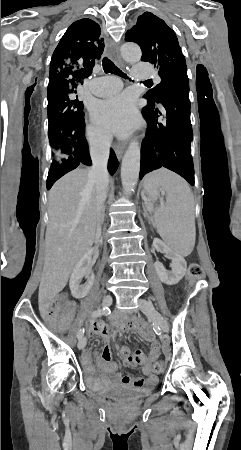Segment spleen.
<instances>
[{"mask_svg":"<svg viewBox=\"0 0 241 450\" xmlns=\"http://www.w3.org/2000/svg\"><path fill=\"white\" fill-rule=\"evenodd\" d=\"M144 192L157 200L160 190L167 194L165 208H156L154 218L158 234L178 254L189 256L195 246L194 196L185 180L170 170H155L144 178Z\"/></svg>","mask_w":241,"mask_h":450,"instance_id":"spleen-1","label":"spleen"}]
</instances>
